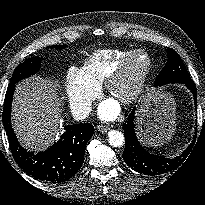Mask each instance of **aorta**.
I'll list each match as a JSON object with an SVG mask.
<instances>
[{"label":"aorta","instance_id":"762f6f07","mask_svg":"<svg viewBox=\"0 0 205 205\" xmlns=\"http://www.w3.org/2000/svg\"><path fill=\"white\" fill-rule=\"evenodd\" d=\"M108 141L113 147H121L124 144V135L120 131L111 130L108 132Z\"/></svg>","mask_w":205,"mask_h":205}]
</instances>
